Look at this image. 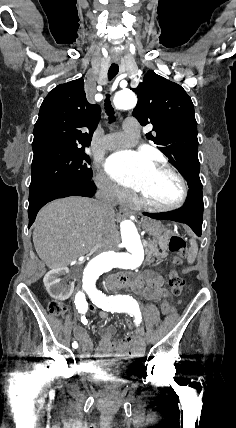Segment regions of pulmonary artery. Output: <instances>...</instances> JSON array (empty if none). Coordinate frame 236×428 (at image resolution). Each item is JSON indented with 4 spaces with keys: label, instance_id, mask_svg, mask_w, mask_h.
<instances>
[{
    "label": "pulmonary artery",
    "instance_id": "pulmonary-artery-1",
    "mask_svg": "<svg viewBox=\"0 0 236 428\" xmlns=\"http://www.w3.org/2000/svg\"><path fill=\"white\" fill-rule=\"evenodd\" d=\"M123 135H125L124 132H117V133L112 134V136H123ZM133 144H134L133 142H127V144H124V143L118 144V143L109 142L106 144L105 147H106V149L113 150V149H119V148H126V147L133 145Z\"/></svg>",
    "mask_w": 236,
    "mask_h": 428
}]
</instances>
